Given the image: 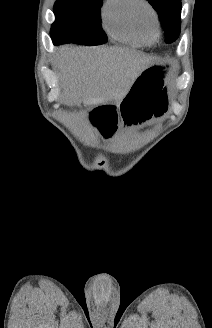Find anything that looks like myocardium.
I'll return each instance as SVG.
<instances>
[{
  "label": "myocardium",
  "mask_w": 212,
  "mask_h": 328,
  "mask_svg": "<svg viewBox=\"0 0 212 328\" xmlns=\"http://www.w3.org/2000/svg\"><path fill=\"white\" fill-rule=\"evenodd\" d=\"M136 1L137 2L133 9V15H134V19H135L138 27L140 28V30L143 32H148V31L154 30V31L158 32V35H159L160 23H159L158 13L155 10V8L147 0H136ZM143 10L148 11L149 14L151 15V23L150 24H148L144 20V18L142 16Z\"/></svg>",
  "instance_id": "f54148a6"
}]
</instances>
